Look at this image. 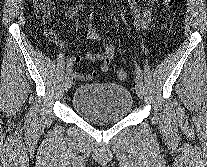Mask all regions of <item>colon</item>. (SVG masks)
Segmentation results:
<instances>
[{
  "label": "colon",
  "mask_w": 207,
  "mask_h": 167,
  "mask_svg": "<svg viewBox=\"0 0 207 167\" xmlns=\"http://www.w3.org/2000/svg\"><path fill=\"white\" fill-rule=\"evenodd\" d=\"M163 3L167 9L173 8L175 4V0H163ZM35 8L37 13L41 17H47L51 10L52 0H34ZM47 37L52 39L53 33L51 31L47 32ZM91 78H95L97 76L96 72H92ZM117 78L119 80H126L128 78V72L124 69H120L116 73Z\"/></svg>",
  "instance_id": "colon-1"
}]
</instances>
